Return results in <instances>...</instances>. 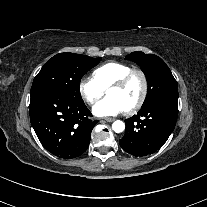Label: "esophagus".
<instances>
[{"instance_id":"1","label":"esophagus","mask_w":207,"mask_h":207,"mask_svg":"<svg viewBox=\"0 0 207 207\" xmlns=\"http://www.w3.org/2000/svg\"><path fill=\"white\" fill-rule=\"evenodd\" d=\"M102 120H105L107 122H113L115 120V118H113V117H104V118H102Z\"/></svg>"}]
</instances>
